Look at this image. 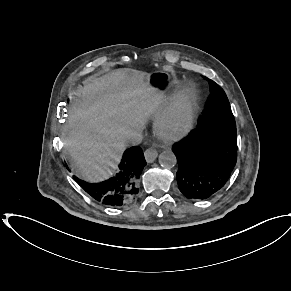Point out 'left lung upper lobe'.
Listing matches in <instances>:
<instances>
[{"label":"left lung upper lobe","mask_w":291,"mask_h":291,"mask_svg":"<svg viewBox=\"0 0 291 291\" xmlns=\"http://www.w3.org/2000/svg\"><path fill=\"white\" fill-rule=\"evenodd\" d=\"M206 79L211 84V95L199 120L210 126L236 129L235 119L224 90L214 81Z\"/></svg>","instance_id":"1"}]
</instances>
